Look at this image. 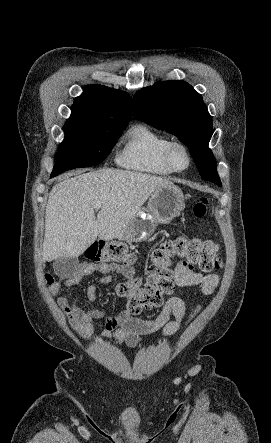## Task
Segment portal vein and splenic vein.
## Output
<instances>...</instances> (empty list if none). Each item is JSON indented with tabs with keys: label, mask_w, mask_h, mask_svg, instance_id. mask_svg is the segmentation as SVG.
<instances>
[{
	"label": "portal vein and splenic vein",
	"mask_w": 271,
	"mask_h": 443,
	"mask_svg": "<svg viewBox=\"0 0 271 443\" xmlns=\"http://www.w3.org/2000/svg\"><path fill=\"white\" fill-rule=\"evenodd\" d=\"M94 208L95 210H99V208H101V204H95Z\"/></svg>",
	"instance_id": "18ae733b"
}]
</instances>
